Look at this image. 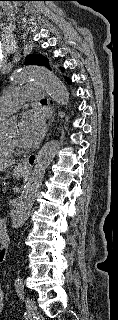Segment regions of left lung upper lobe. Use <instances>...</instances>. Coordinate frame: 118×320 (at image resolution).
I'll return each instance as SVG.
<instances>
[{
    "mask_svg": "<svg viewBox=\"0 0 118 320\" xmlns=\"http://www.w3.org/2000/svg\"><path fill=\"white\" fill-rule=\"evenodd\" d=\"M25 64H27V65H40V66H46V67L50 68L49 65H48V60L44 56H42L40 54H38V55H29L26 58ZM63 70L64 69L62 68V71Z\"/></svg>",
    "mask_w": 118,
    "mask_h": 320,
    "instance_id": "obj_1",
    "label": "left lung upper lobe"
}]
</instances>
